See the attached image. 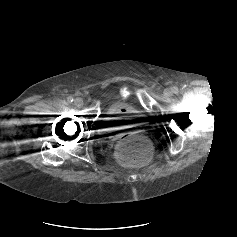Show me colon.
<instances>
[{"mask_svg":"<svg viewBox=\"0 0 237 237\" xmlns=\"http://www.w3.org/2000/svg\"><path fill=\"white\" fill-rule=\"evenodd\" d=\"M117 158L126 165H142L152 156L149 141L139 133L124 136L117 145Z\"/></svg>","mask_w":237,"mask_h":237,"instance_id":"1","label":"colon"}]
</instances>
